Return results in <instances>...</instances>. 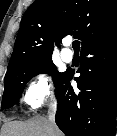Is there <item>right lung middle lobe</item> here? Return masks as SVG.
Listing matches in <instances>:
<instances>
[{
  "label": "right lung middle lobe",
  "mask_w": 117,
  "mask_h": 136,
  "mask_svg": "<svg viewBox=\"0 0 117 136\" xmlns=\"http://www.w3.org/2000/svg\"><path fill=\"white\" fill-rule=\"evenodd\" d=\"M40 73L52 75L55 85L60 81L65 72L56 71L52 57H37L15 62L7 67L4 79V93L1 108L6 109L18 103L19 96L25 84Z\"/></svg>",
  "instance_id": "obj_1"
}]
</instances>
